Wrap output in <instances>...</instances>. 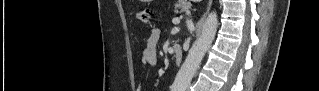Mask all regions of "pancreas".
<instances>
[{
    "mask_svg": "<svg viewBox=\"0 0 319 91\" xmlns=\"http://www.w3.org/2000/svg\"><path fill=\"white\" fill-rule=\"evenodd\" d=\"M180 3H177L175 5V11L178 12V10H180V12H185L186 10L189 9L190 5L189 4H183L181 3L182 1H179Z\"/></svg>",
    "mask_w": 319,
    "mask_h": 91,
    "instance_id": "pancreas-1",
    "label": "pancreas"
}]
</instances>
